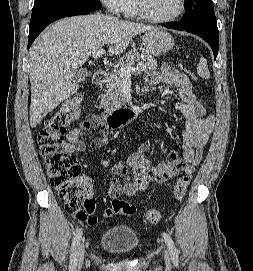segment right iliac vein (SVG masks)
I'll return each instance as SVG.
<instances>
[{"mask_svg":"<svg viewBox=\"0 0 253 271\" xmlns=\"http://www.w3.org/2000/svg\"><path fill=\"white\" fill-rule=\"evenodd\" d=\"M84 253H85V244H82L78 253V262L77 265L80 268L84 261Z\"/></svg>","mask_w":253,"mask_h":271,"instance_id":"63e3f726","label":"right iliac vein"}]
</instances>
